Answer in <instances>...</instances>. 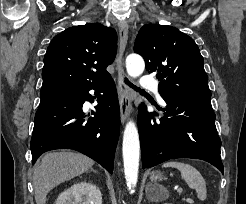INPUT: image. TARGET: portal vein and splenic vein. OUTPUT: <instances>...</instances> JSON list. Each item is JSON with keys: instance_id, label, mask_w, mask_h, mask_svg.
I'll list each match as a JSON object with an SVG mask.
<instances>
[{"instance_id": "1", "label": "portal vein and splenic vein", "mask_w": 246, "mask_h": 204, "mask_svg": "<svg viewBox=\"0 0 246 204\" xmlns=\"http://www.w3.org/2000/svg\"><path fill=\"white\" fill-rule=\"evenodd\" d=\"M177 192L178 193H182L183 192V189L181 187L177 188Z\"/></svg>"}]
</instances>
